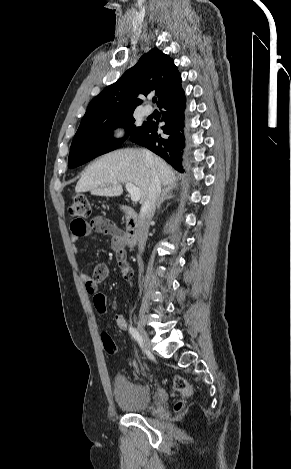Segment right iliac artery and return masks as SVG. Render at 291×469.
Here are the masks:
<instances>
[{
    "instance_id": "right-iliac-artery-1",
    "label": "right iliac artery",
    "mask_w": 291,
    "mask_h": 469,
    "mask_svg": "<svg viewBox=\"0 0 291 469\" xmlns=\"http://www.w3.org/2000/svg\"><path fill=\"white\" fill-rule=\"evenodd\" d=\"M129 332H130L131 336L138 342L140 347H143L142 339H141L140 334L138 333V331L134 327H130Z\"/></svg>"
}]
</instances>
